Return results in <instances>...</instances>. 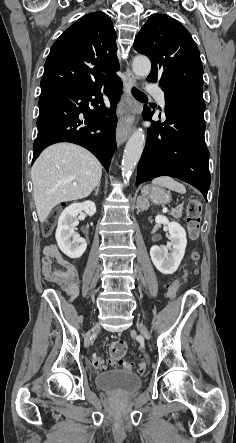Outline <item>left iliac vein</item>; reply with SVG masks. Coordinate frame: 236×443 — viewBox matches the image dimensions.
I'll return each mask as SVG.
<instances>
[{
    "label": "left iliac vein",
    "instance_id": "left-iliac-vein-1",
    "mask_svg": "<svg viewBox=\"0 0 236 443\" xmlns=\"http://www.w3.org/2000/svg\"><path fill=\"white\" fill-rule=\"evenodd\" d=\"M137 327H138V329L140 330V332L147 338V339H149L150 338V335H149V333H148V331H147V329L145 328V326L142 324V323H137Z\"/></svg>",
    "mask_w": 236,
    "mask_h": 443
}]
</instances>
